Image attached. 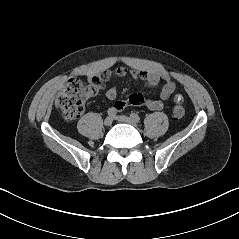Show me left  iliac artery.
Returning a JSON list of instances; mask_svg holds the SVG:
<instances>
[{
	"mask_svg": "<svg viewBox=\"0 0 239 239\" xmlns=\"http://www.w3.org/2000/svg\"><path fill=\"white\" fill-rule=\"evenodd\" d=\"M130 117L136 122H140V120H141L140 117L136 113H131Z\"/></svg>",
	"mask_w": 239,
	"mask_h": 239,
	"instance_id": "1",
	"label": "left iliac artery"
}]
</instances>
